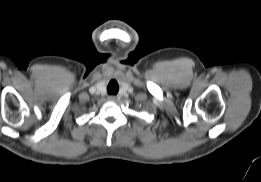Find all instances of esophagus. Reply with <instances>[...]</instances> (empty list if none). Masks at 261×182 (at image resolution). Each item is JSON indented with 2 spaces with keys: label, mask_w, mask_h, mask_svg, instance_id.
<instances>
[{
  "label": "esophagus",
  "mask_w": 261,
  "mask_h": 182,
  "mask_svg": "<svg viewBox=\"0 0 261 182\" xmlns=\"http://www.w3.org/2000/svg\"><path fill=\"white\" fill-rule=\"evenodd\" d=\"M108 100L114 102L116 100V97L113 95L108 96Z\"/></svg>",
  "instance_id": "esophagus-1"
}]
</instances>
